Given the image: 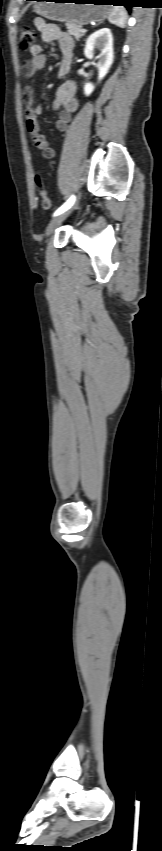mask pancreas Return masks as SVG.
<instances>
[{
  "mask_svg": "<svg viewBox=\"0 0 162 851\" xmlns=\"http://www.w3.org/2000/svg\"><path fill=\"white\" fill-rule=\"evenodd\" d=\"M66 28H67L68 34L74 36L75 39H77V40L80 39L85 34V32L81 31L82 26L74 24V23H67Z\"/></svg>",
  "mask_w": 162,
  "mask_h": 851,
  "instance_id": "obj_1",
  "label": "pancreas"
}]
</instances>
